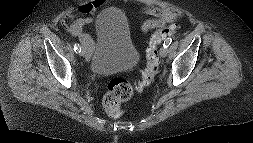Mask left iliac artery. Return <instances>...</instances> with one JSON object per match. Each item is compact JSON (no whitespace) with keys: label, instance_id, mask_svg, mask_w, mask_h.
Returning a JSON list of instances; mask_svg holds the SVG:
<instances>
[{"label":"left iliac artery","instance_id":"left-iliac-artery-1","mask_svg":"<svg viewBox=\"0 0 253 143\" xmlns=\"http://www.w3.org/2000/svg\"><path fill=\"white\" fill-rule=\"evenodd\" d=\"M171 42H172V39H171V38L166 39V40L164 41L163 47L168 48L169 45L171 44Z\"/></svg>","mask_w":253,"mask_h":143}]
</instances>
